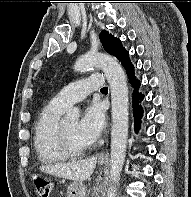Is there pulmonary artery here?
<instances>
[{
    "label": "pulmonary artery",
    "instance_id": "e3ab8cb5",
    "mask_svg": "<svg viewBox=\"0 0 191 197\" xmlns=\"http://www.w3.org/2000/svg\"><path fill=\"white\" fill-rule=\"evenodd\" d=\"M104 77L102 74H94L87 78L77 80L65 86L53 98L52 102L64 109L84 99L92 91L103 86Z\"/></svg>",
    "mask_w": 191,
    "mask_h": 197
}]
</instances>
